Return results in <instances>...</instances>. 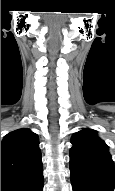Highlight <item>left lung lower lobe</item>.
Here are the masks:
<instances>
[{
    "mask_svg": "<svg viewBox=\"0 0 115 191\" xmlns=\"http://www.w3.org/2000/svg\"><path fill=\"white\" fill-rule=\"evenodd\" d=\"M73 191H113L115 176L95 168L70 164Z\"/></svg>",
    "mask_w": 115,
    "mask_h": 191,
    "instance_id": "1",
    "label": "left lung lower lobe"
}]
</instances>
